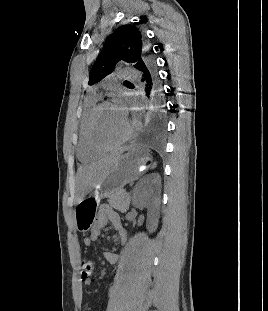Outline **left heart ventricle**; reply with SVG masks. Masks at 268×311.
I'll return each instance as SVG.
<instances>
[{
  "label": "left heart ventricle",
  "instance_id": "1",
  "mask_svg": "<svg viewBox=\"0 0 268 311\" xmlns=\"http://www.w3.org/2000/svg\"><path fill=\"white\" fill-rule=\"evenodd\" d=\"M127 128L126 119L113 107H104L94 122V136L98 143L110 145L117 142Z\"/></svg>",
  "mask_w": 268,
  "mask_h": 311
}]
</instances>
